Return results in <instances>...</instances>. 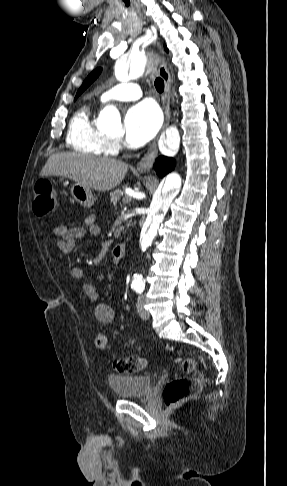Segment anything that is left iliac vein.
Masks as SVG:
<instances>
[{
  "label": "left iliac vein",
  "mask_w": 287,
  "mask_h": 486,
  "mask_svg": "<svg viewBox=\"0 0 287 486\" xmlns=\"http://www.w3.org/2000/svg\"><path fill=\"white\" fill-rule=\"evenodd\" d=\"M144 305H145V298L142 295H140L136 303L137 312L143 320H148L150 318V314L145 309Z\"/></svg>",
  "instance_id": "obj_1"
}]
</instances>
